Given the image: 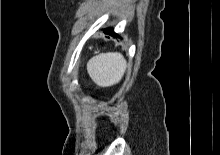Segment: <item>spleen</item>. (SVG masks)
Here are the masks:
<instances>
[{"label": "spleen", "instance_id": "obj_1", "mask_svg": "<svg viewBox=\"0 0 220 155\" xmlns=\"http://www.w3.org/2000/svg\"><path fill=\"white\" fill-rule=\"evenodd\" d=\"M126 60L118 52L101 53L87 63V71L99 87H110L121 81L126 70Z\"/></svg>", "mask_w": 220, "mask_h": 155}]
</instances>
